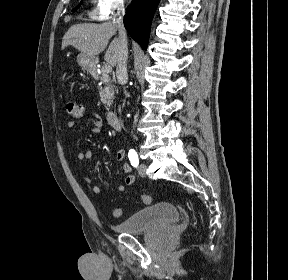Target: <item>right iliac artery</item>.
<instances>
[{
	"mask_svg": "<svg viewBox=\"0 0 288 280\" xmlns=\"http://www.w3.org/2000/svg\"><path fill=\"white\" fill-rule=\"evenodd\" d=\"M128 157L130 160L131 165L134 167V164H139L138 155L135 150L131 149L128 153Z\"/></svg>",
	"mask_w": 288,
	"mask_h": 280,
	"instance_id": "82829eb1",
	"label": "right iliac artery"
}]
</instances>
